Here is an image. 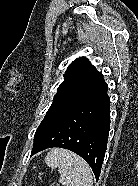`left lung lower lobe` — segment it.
I'll return each mask as SVG.
<instances>
[{
    "label": "left lung lower lobe",
    "instance_id": "1",
    "mask_svg": "<svg viewBox=\"0 0 138 186\" xmlns=\"http://www.w3.org/2000/svg\"><path fill=\"white\" fill-rule=\"evenodd\" d=\"M103 82L57 120L35 142L31 155L60 147L80 155L99 179L110 129V97Z\"/></svg>",
    "mask_w": 138,
    "mask_h": 186
}]
</instances>
